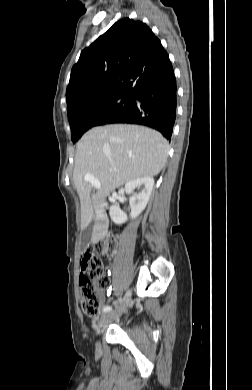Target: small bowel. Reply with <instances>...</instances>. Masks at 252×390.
I'll return each mask as SVG.
<instances>
[{
    "label": "small bowel",
    "instance_id": "small-bowel-1",
    "mask_svg": "<svg viewBox=\"0 0 252 390\" xmlns=\"http://www.w3.org/2000/svg\"><path fill=\"white\" fill-rule=\"evenodd\" d=\"M101 296L104 297V294L101 293ZM111 300H112V297H109V301H111Z\"/></svg>",
    "mask_w": 252,
    "mask_h": 390
}]
</instances>
